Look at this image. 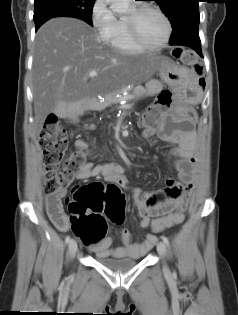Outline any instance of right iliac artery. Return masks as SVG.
I'll return each instance as SVG.
<instances>
[{
    "label": "right iliac artery",
    "mask_w": 238,
    "mask_h": 315,
    "mask_svg": "<svg viewBox=\"0 0 238 315\" xmlns=\"http://www.w3.org/2000/svg\"><path fill=\"white\" fill-rule=\"evenodd\" d=\"M70 241H71L70 236H67V237L65 238V242L68 244V243H70Z\"/></svg>",
    "instance_id": "obj_1"
}]
</instances>
